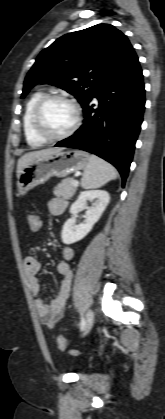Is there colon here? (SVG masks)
<instances>
[{"label":"colon","instance_id":"obj_1","mask_svg":"<svg viewBox=\"0 0 165 419\" xmlns=\"http://www.w3.org/2000/svg\"><path fill=\"white\" fill-rule=\"evenodd\" d=\"M28 223H29L30 230L38 231L40 229V224H41L39 215L30 214L28 216ZM56 342H57L58 348L61 351H69V344L63 336L58 335L56 338Z\"/></svg>","mask_w":165,"mask_h":419}]
</instances>
